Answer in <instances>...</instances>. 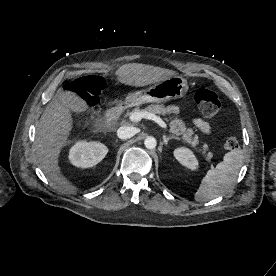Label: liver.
Instances as JSON below:
<instances>
[{"label": "liver", "instance_id": "6515ba94", "mask_svg": "<svg viewBox=\"0 0 276 276\" xmlns=\"http://www.w3.org/2000/svg\"><path fill=\"white\" fill-rule=\"evenodd\" d=\"M115 74L122 84L142 87L174 76L176 72L130 63L119 67ZM71 97V92H65L63 88L57 90L40 118L35 138V152L40 168L55 186L66 192L77 189L62 175L58 165L61 149L68 143V137L73 129Z\"/></svg>", "mask_w": 276, "mask_h": 276}]
</instances>
